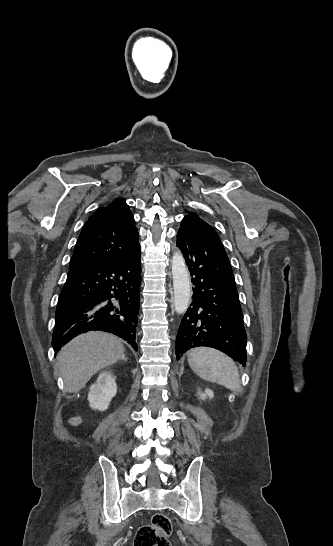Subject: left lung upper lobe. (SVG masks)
<instances>
[{
  "label": "left lung upper lobe",
  "instance_id": "5c2ea615",
  "mask_svg": "<svg viewBox=\"0 0 333 546\" xmlns=\"http://www.w3.org/2000/svg\"><path fill=\"white\" fill-rule=\"evenodd\" d=\"M184 220L194 223V225H196L201 231H203L210 238L215 239L218 242H221L216 231L208 223L204 222L197 214L189 213L186 217H184L182 221Z\"/></svg>",
  "mask_w": 333,
  "mask_h": 546
}]
</instances>
